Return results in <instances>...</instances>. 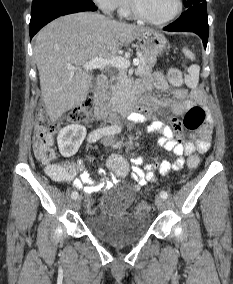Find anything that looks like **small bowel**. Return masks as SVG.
Segmentation results:
<instances>
[{"mask_svg":"<svg viewBox=\"0 0 233 284\" xmlns=\"http://www.w3.org/2000/svg\"><path fill=\"white\" fill-rule=\"evenodd\" d=\"M167 88L168 83L161 72H155L150 75L141 85V90L146 92L142 103L129 116V120L132 123L150 122L149 130L162 136L159 140L160 146L166 151L173 152L177 157L174 161L164 160L160 164L154 159L145 164L144 169L141 167L144 164V159L133 157L129 164L128 174L139 186L154 180V170L158 165H160V173L162 174L167 173L171 169L180 170L185 163L184 157H189L195 153H206L210 147L212 135L210 118L191 136L190 140L185 141L183 138V124L177 117L183 115L195 105L204 104L205 98L203 93L197 89L187 90L179 88L173 91L172 97L154 96V89L164 91ZM161 109H168L174 115L170 120V125L152 120V112ZM45 172L55 182L72 183L86 194L109 189L118 181L116 177L94 181L88 171L80 164L70 161L49 164L45 167ZM100 172L104 173V170ZM92 206V202L88 201L87 207L91 212L93 211Z\"/></svg>","mask_w":233,"mask_h":284,"instance_id":"small-bowel-1","label":"small bowel"}]
</instances>
